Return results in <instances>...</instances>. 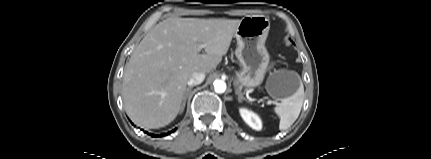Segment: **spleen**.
<instances>
[{"label": "spleen", "mask_w": 431, "mask_h": 159, "mask_svg": "<svg viewBox=\"0 0 431 159\" xmlns=\"http://www.w3.org/2000/svg\"><path fill=\"white\" fill-rule=\"evenodd\" d=\"M304 101V87L301 83L299 90L291 97L283 99L275 108L280 117V130L288 129L298 118Z\"/></svg>", "instance_id": "spleen-1"}]
</instances>
